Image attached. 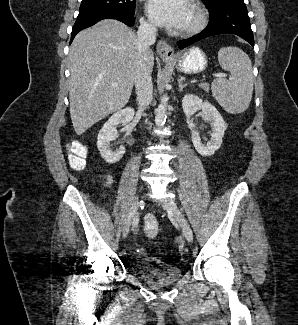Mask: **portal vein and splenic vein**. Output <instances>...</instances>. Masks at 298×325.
I'll list each match as a JSON object with an SVG mask.
<instances>
[{
  "instance_id": "18ae733b",
  "label": "portal vein and splenic vein",
  "mask_w": 298,
  "mask_h": 325,
  "mask_svg": "<svg viewBox=\"0 0 298 325\" xmlns=\"http://www.w3.org/2000/svg\"><path fill=\"white\" fill-rule=\"evenodd\" d=\"M212 76H221V74H219V72H217V74H212ZM113 84H117V82H113Z\"/></svg>"
}]
</instances>
